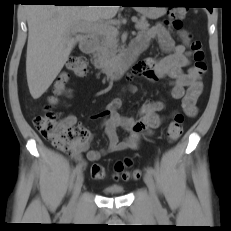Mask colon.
<instances>
[{
    "instance_id": "colon-1",
    "label": "colon",
    "mask_w": 231,
    "mask_h": 231,
    "mask_svg": "<svg viewBox=\"0 0 231 231\" xmlns=\"http://www.w3.org/2000/svg\"><path fill=\"white\" fill-rule=\"evenodd\" d=\"M185 12L186 10L182 7L170 9L166 22L167 25L175 30H180L182 28ZM190 47L194 61V69L199 75H202L207 70L205 51L202 47V43L198 40H192L190 42ZM66 68L68 73L61 76L55 84L54 94L50 98V104L52 106L58 104L59 98L67 92L69 74H73L79 78H83L87 75V59L84 56H73L68 60ZM183 122L184 117L182 114L175 115L170 122L166 132L169 142H176L181 137ZM33 124L42 137L50 140L55 147L62 150L68 149L72 144L82 141L87 135V131L84 128L68 126L59 121L50 109H46L43 113L37 115L33 120ZM130 164L131 160L129 158L118 161L115 164V178L122 180L138 178V172L129 173L125 171V167ZM91 176L95 180L103 179L105 177L104 167L99 163L93 164L91 167Z\"/></svg>"
}]
</instances>
